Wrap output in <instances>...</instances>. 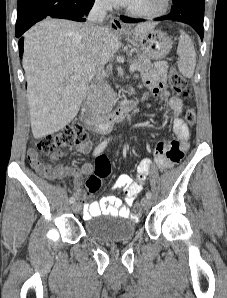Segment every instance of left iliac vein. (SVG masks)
<instances>
[{
	"label": "left iliac vein",
	"instance_id": "left-iliac-vein-1",
	"mask_svg": "<svg viewBox=\"0 0 227 298\" xmlns=\"http://www.w3.org/2000/svg\"><path fill=\"white\" fill-rule=\"evenodd\" d=\"M141 205H142V207H143L145 210L149 209L150 206H151V200H150V198H149V197H144V198L142 199V201H141Z\"/></svg>",
	"mask_w": 227,
	"mask_h": 298
}]
</instances>
